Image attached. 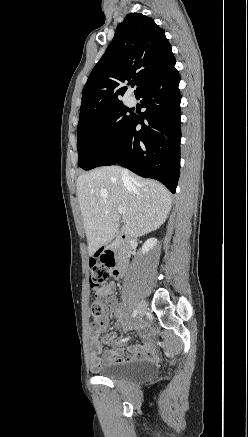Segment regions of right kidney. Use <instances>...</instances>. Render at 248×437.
I'll return each instance as SVG.
<instances>
[{
  "instance_id": "1",
  "label": "right kidney",
  "mask_w": 248,
  "mask_h": 437,
  "mask_svg": "<svg viewBox=\"0 0 248 437\" xmlns=\"http://www.w3.org/2000/svg\"><path fill=\"white\" fill-rule=\"evenodd\" d=\"M157 244V239L156 238H150L148 239L144 245L142 246V253L145 254L148 251H150L151 249H153V247Z\"/></svg>"
}]
</instances>
